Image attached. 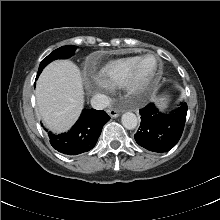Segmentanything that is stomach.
Returning <instances> with one entry per match:
<instances>
[{"label": "stomach", "mask_w": 220, "mask_h": 220, "mask_svg": "<svg viewBox=\"0 0 220 220\" xmlns=\"http://www.w3.org/2000/svg\"><path fill=\"white\" fill-rule=\"evenodd\" d=\"M167 106H168V102H167V101H164V100H161V101H160V104H159L160 110L166 109Z\"/></svg>", "instance_id": "0dacf381"}]
</instances>
